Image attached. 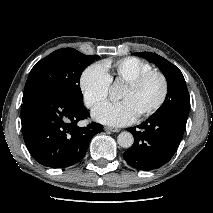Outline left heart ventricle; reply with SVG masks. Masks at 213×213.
<instances>
[{"label": "left heart ventricle", "instance_id": "obj_1", "mask_svg": "<svg viewBox=\"0 0 213 213\" xmlns=\"http://www.w3.org/2000/svg\"><path fill=\"white\" fill-rule=\"evenodd\" d=\"M162 92V84L158 77L148 78L137 88L124 86L119 98L128 101L137 115L153 105Z\"/></svg>", "mask_w": 213, "mask_h": 213}]
</instances>
